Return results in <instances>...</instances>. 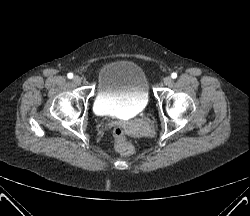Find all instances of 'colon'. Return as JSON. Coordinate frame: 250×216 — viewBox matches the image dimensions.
I'll return each instance as SVG.
<instances>
[{
    "instance_id": "5ec220e1",
    "label": "colon",
    "mask_w": 250,
    "mask_h": 216,
    "mask_svg": "<svg viewBox=\"0 0 250 216\" xmlns=\"http://www.w3.org/2000/svg\"><path fill=\"white\" fill-rule=\"evenodd\" d=\"M115 138V147L122 154H132L134 152V145L126 138L124 129L117 125L113 130Z\"/></svg>"
}]
</instances>
